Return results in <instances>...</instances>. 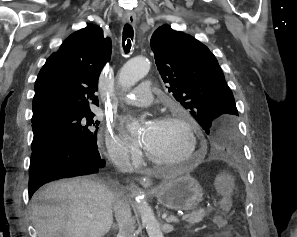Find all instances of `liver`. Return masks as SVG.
Listing matches in <instances>:
<instances>
[{"instance_id": "obj_1", "label": "liver", "mask_w": 297, "mask_h": 237, "mask_svg": "<svg viewBox=\"0 0 297 237\" xmlns=\"http://www.w3.org/2000/svg\"><path fill=\"white\" fill-rule=\"evenodd\" d=\"M115 192L90 178L48 184L32 197L38 237H103L113 223Z\"/></svg>"}]
</instances>
